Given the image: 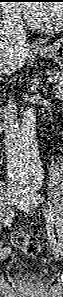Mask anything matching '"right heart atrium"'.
I'll return each instance as SVG.
<instances>
[{
    "label": "right heart atrium",
    "mask_w": 63,
    "mask_h": 297,
    "mask_svg": "<svg viewBox=\"0 0 63 297\" xmlns=\"http://www.w3.org/2000/svg\"><path fill=\"white\" fill-rule=\"evenodd\" d=\"M5 17L12 21H19L20 20V13L14 8L5 7L4 8Z\"/></svg>",
    "instance_id": "d8ad5b80"
}]
</instances>
